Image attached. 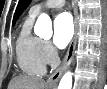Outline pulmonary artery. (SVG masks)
<instances>
[{"mask_svg":"<svg viewBox=\"0 0 107 89\" xmlns=\"http://www.w3.org/2000/svg\"><path fill=\"white\" fill-rule=\"evenodd\" d=\"M64 4H65L64 0H48L45 2H41V3L35 4L30 8L29 15L32 17H36L45 9L61 8L64 6Z\"/></svg>","mask_w":107,"mask_h":89,"instance_id":"1","label":"pulmonary artery"}]
</instances>
